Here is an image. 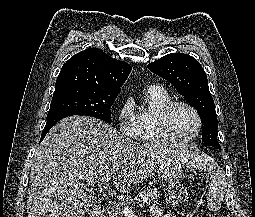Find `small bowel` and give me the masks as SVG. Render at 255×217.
I'll return each instance as SVG.
<instances>
[{
	"label": "small bowel",
	"instance_id": "small-bowel-1",
	"mask_svg": "<svg viewBox=\"0 0 255 217\" xmlns=\"http://www.w3.org/2000/svg\"><path fill=\"white\" fill-rule=\"evenodd\" d=\"M150 216L151 217H175L173 214L163 213L160 207L157 205L151 206Z\"/></svg>",
	"mask_w": 255,
	"mask_h": 217
}]
</instances>
